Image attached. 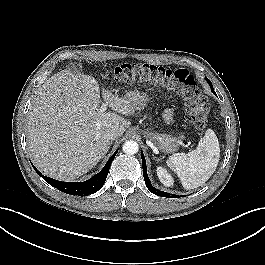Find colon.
Segmentation results:
<instances>
[{
	"mask_svg": "<svg viewBox=\"0 0 265 265\" xmlns=\"http://www.w3.org/2000/svg\"><path fill=\"white\" fill-rule=\"evenodd\" d=\"M121 85L145 83L181 98L187 106L185 120L197 128L207 125L209 106L201 95L197 79L185 69H170L152 64H122L114 73Z\"/></svg>",
	"mask_w": 265,
	"mask_h": 265,
	"instance_id": "5ec220e1",
	"label": "colon"
}]
</instances>
